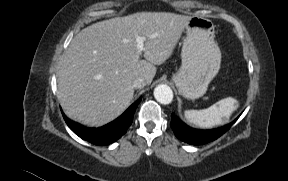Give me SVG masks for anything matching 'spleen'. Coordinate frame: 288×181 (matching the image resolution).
<instances>
[{
    "instance_id": "3e777b00",
    "label": "spleen",
    "mask_w": 288,
    "mask_h": 181,
    "mask_svg": "<svg viewBox=\"0 0 288 181\" xmlns=\"http://www.w3.org/2000/svg\"><path fill=\"white\" fill-rule=\"evenodd\" d=\"M239 107V103L232 97H227L212 106L202 110H186L185 118L188 122L201 128H212L228 122L231 114Z\"/></svg>"
}]
</instances>
